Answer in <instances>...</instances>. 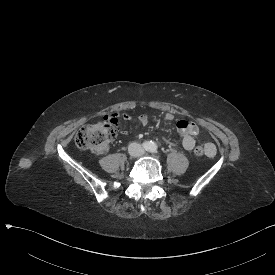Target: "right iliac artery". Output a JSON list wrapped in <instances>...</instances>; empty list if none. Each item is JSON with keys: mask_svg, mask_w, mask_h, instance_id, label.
<instances>
[{"mask_svg": "<svg viewBox=\"0 0 275 275\" xmlns=\"http://www.w3.org/2000/svg\"><path fill=\"white\" fill-rule=\"evenodd\" d=\"M151 145H152V142L150 141H145L143 144H142V146H143V148L145 149V150H149L150 149V147H151Z\"/></svg>", "mask_w": 275, "mask_h": 275, "instance_id": "82829eb1", "label": "right iliac artery"}]
</instances>
